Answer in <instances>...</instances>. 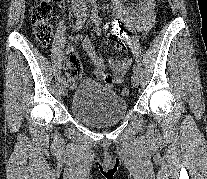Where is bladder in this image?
<instances>
[{
    "label": "bladder",
    "instance_id": "obj_1",
    "mask_svg": "<svg viewBox=\"0 0 207 179\" xmlns=\"http://www.w3.org/2000/svg\"><path fill=\"white\" fill-rule=\"evenodd\" d=\"M72 114L90 126H106L124 118L127 101L116 92L92 80H84L71 100Z\"/></svg>",
    "mask_w": 207,
    "mask_h": 179
}]
</instances>
